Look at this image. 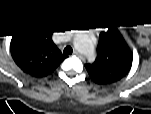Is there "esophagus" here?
I'll return each instance as SVG.
<instances>
[{
  "instance_id": "1",
  "label": "esophagus",
  "mask_w": 151,
  "mask_h": 114,
  "mask_svg": "<svg viewBox=\"0 0 151 114\" xmlns=\"http://www.w3.org/2000/svg\"><path fill=\"white\" fill-rule=\"evenodd\" d=\"M74 54L80 58H83V56L78 51H74Z\"/></svg>"
}]
</instances>
